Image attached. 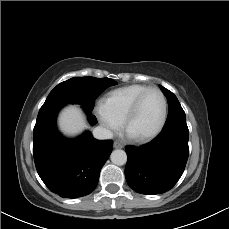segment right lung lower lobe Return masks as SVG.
I'll list each match as a JSON object with an SVG mask.
<instances>
[{"mask_svg":"<svg viewBox=\"0 0 229 229\" xmlns=\"http://www.w3.org/2000/svg\"><path fill=\"white\" fill-rule=\"evenodd\" d=\"M62 106L40 110L33 131V155L37 172L45 185L63 198L88 195L97 186L101 168L107 161L113 142L96 140L89 132L68 140L56 127ZM92 125L97 123L86 110Z\"/></svg>","mask_w":229,"mask_h":229,"instance_id":"obj_1","label":"right lung lower lobe"}]
</instances>
